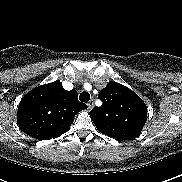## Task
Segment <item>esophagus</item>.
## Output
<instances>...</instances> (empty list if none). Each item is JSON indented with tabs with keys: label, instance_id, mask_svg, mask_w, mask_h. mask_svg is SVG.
Here are the masks:
<instances>
[{
	"label": "esophagus",
	"instance_id": "esophagus-1",
	"mask_svg": "<svg viewBox=\"0 0 182 182\" xmlns=\"http://www.w3.org/2000/svg\"><path fill=\"white\" fill-rule=\"evenodd\" d=\"M87 106H88V110H91V109L94 107V100L91 99V100L87 103Z\"/></svg>",
	"mask_w": 182,
	"mask_h": 182
}]
</instances>
